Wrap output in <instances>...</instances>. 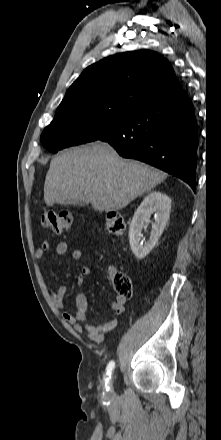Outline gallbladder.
Masks as SVG:
<instances>
[{"label":"gallbladder","instance_id":"gallbladder-1","mask_svg":"<svg viewBox=\"0 0 221 440\" xmlns=\"http://www.w3.org/2000/svg\"><path fill=\"white\" fill-rule=\"evenodd\" d=\"M59 203L61 205H80V206H84V205L89 204L88 201H81V200H75V199H66V200H63Z\"/></svg>","mask_w":221,"mask_h":440}]
</instances>
